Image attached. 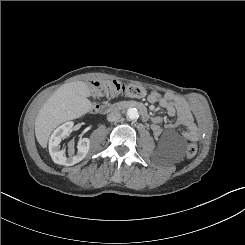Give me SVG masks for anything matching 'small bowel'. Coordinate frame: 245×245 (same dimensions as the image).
Listing matches in <instances>:
<instances>
[{
	"instance_id": "small-bowel-1",
	"label": "small bowel",
	"mask_w": 245,
	"mask_h": 245,
	"mask_svg": "<svg viewBox=\"0 0 245 245\" xmlns=\"http://www.w3.org/2000/svg\"><path fill=\"white\" fill-rule=\"evenodd\" d=\"M148 101L150 103H159L160 106L167 110L169 116H177L176 124L168 123L165 125L166 129H173L175 126L179 125L184 126L185 130L183 132V137L185 139L189 141H197L200 138V133L194 117L187 103L183 99L171 93L160 95L153 92L148 96ZM163 123L164 120L159 116L152 118L151 129L155 137H160L162 135L163 128L161 125Z\"/></svg>"
}]
</instances>
